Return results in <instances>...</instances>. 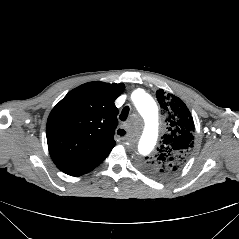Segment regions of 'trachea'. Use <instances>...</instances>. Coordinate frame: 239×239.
Listing matches in <instances>:
<instances>
[{"mask_svg": "<svg viewBox=\"0 0 239 239\" xmlns=\"http://www.w3.org/2000/svg\"><path fill=\"white\" fill-rule=\"evenodd\" d=\"M129 110L130 109H129L128 106L123 108V110H122V112H121V114L119 116L120 120L125 121L127 119L128 114H129Z\"/></svg>", "mask_w": 239, "mask_h": 239, "instance_id": "1", "label": "trachea"}]
</instances>
